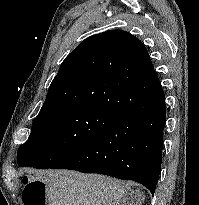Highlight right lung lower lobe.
<instances>
[{
	"label": "right lung lower lobe",
	"instance_id": "obj_1",
	"mask_svg": "<svg viewBox=\"0 0 199 205\" xmlns=\"http://www.w3.org/2000/svg\"><path fill=\"white\" fill-rule=\"evenodd\" d=\"M144 98L92 142L56 163L51 169H70L133 180L152 195L161 171L165 95L159 79L131 83Z\"/></svg>",
	"mask_w": 199,
	"mask_h": 205
}]
</instances>
